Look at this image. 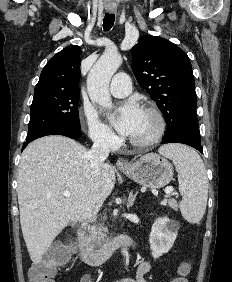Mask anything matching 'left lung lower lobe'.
<instances>
[{"label":"left lung lower lobe","instance_id":"0a47b994","mask_svg":"<svg viewBox=\"0 0 232 282\" xmlns=\"http://www.w3.org/2000/svg\"><path fill=\"white\" fill-rule=\"evenodd\" d=\"M162 143H183L203 153L198 122L181 120L176 125L167 124Z\"/></svg>","mask_w":232,"mask_h":282}]
</instances>
